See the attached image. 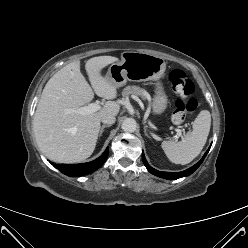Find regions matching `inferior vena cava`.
<instances>
[{"instance_id":"602c4592","label":"inferior vena cava","mask_w":248,"mask_h":248,"mask_svg":"<svg viewBox=\"0 0 248 248\" xmlns=\"http://www.w3.org/2000/svg\"><path fill=\"white\" fill-rule=\"evenodd\" d=\"M115 120L116 118L114 115H105L101 118L102 123L108 124V125L115 123Z\"/></svg>"}]
</instances>
